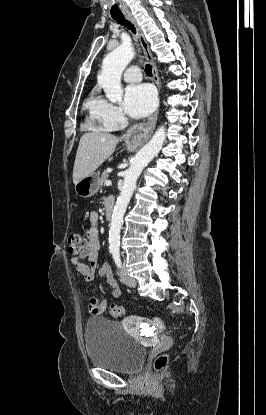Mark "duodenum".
<instances>
[{"instance_id":"1","label":"duodenum","mask_w":266,"mask_h":415,"mask_svg":"<svg viewBox=\"0 0 266 415\" xmlns=\"http://www.w3.org/2000/svg\"><path fill=\"white\" fill-rule=\"evenodd\" d=\"M113 211H114V201H108L105 203V212H106V217L108 220L111 219L112 215H113Z\"/></svg>"}]
</instances>
